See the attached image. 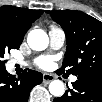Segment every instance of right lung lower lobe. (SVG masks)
I'll return each instance as SVG.
<instances>
[{"mask_svg": "<svg viewBox=\"0 0 102 102\" xmlns=\"http://www.w3.org/2000/svg\"><path fill=\"white\" fill-rule=\"evenodd\" d=\"M43 75L26 69L21 75L9 74L0 69V99L3 102H27L31 89L42 82Z\"/></svg>", "mask_w": 102, "mask_h": 102, "instance_id": "right-lung-lower-lobe-1", "label": "right lung lower lobe"}]
</instances>
